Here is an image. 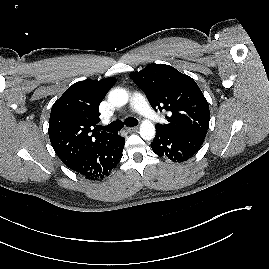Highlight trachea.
<instances>
[{"instance_id": "3493384b", "label": "trachea", "mask_w": 269, "mask_h": 269, "mask_svg": "<svg viewBox=\"0 0 269 269\" xmlns=\"http://www.w3.org/2000/svg\"><path fill=\"white\" fill-rule=\"evenodd\" d=\"M124 124H126L129 127H133L138 124V120L135 118L129 117L124 121V123L121 122L120 120H116L107 126H99L98 129L113 133V132H118L119 130H121Z\"/></svg>"}]
</instances>
